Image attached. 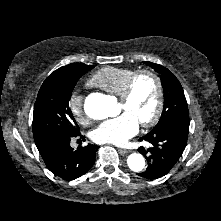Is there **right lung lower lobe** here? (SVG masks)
Masks as SVG:
<instances>
[{"instance_id":"98d812e1","label":"right lung lower lobe","mask_w":221,"mask_h":221,"mask_svg":"<svg viewBox=\"0 0 221 221\" xmlns=\"http://www.w3.org/2000/svg\"><path fill=\"white\" fill-rule=\"evenodd\" d=\"M73 137L84 138L80 133L71 136L49 135L35 140V144L47 168L67 181L74 180L91 169L96 157V145L88 144L74 150L70 146Z\"/></svg>"}]
</instances>
